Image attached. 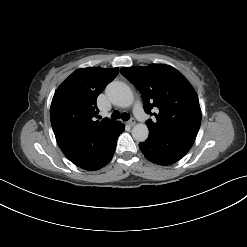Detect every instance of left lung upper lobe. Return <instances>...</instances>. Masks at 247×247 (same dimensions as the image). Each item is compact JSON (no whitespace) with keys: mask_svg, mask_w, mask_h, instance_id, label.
Returning <instances> with one entry per match:
<instances>
[{"mask_svg":"<svg viewBox=\"0 0 247 247\" xmlns=\"http://www.w3.org/2000/svg\"><path fill=\"white\" fill-rule=\"evenodd\" d=\"M121 74L139 90L144 110L155 116L146 122L150 135L193 144L201 123L196 92L171 66L124 67ZM153 107L157 113H151Z\"/></svg>","mask_w":247,"mask_h":247,"instance_id":"obj_1","label":"left lung upper lobe"}]
</instances>
